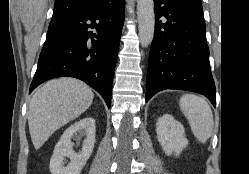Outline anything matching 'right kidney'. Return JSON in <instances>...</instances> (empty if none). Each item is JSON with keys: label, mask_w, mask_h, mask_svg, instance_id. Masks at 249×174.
Instances as JSON below:
<instances>
[{"label": "right kidney", "mask_w": 249, "mask_h": 174, "mask_svg": "<svg viewBox=\"0 0 249 174\" xmlns=\"http://www.w3.org/2000/svg\"><path fill=\"white\" fill-rule=\"evenodd\" d=\"M77 132L87 136L83 141L82 151L79 154L74 152L73 143L71 142L72 136ZM95 132V120L91 117L84 118L68 127L54 148L50 159L51 173L80 174L93 152ZM65 157L70 158V163L67 166H64Z\"/></svg>", "instance_id": "ca27d5eb"}]
</instances>
